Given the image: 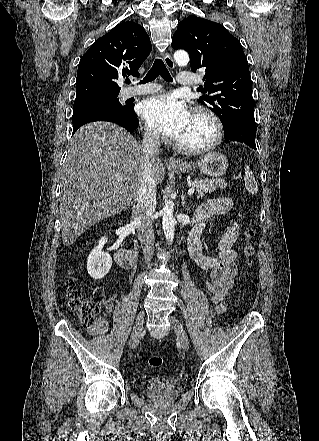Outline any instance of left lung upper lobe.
Returning <instances> with one entry per match:
<instances>
[{"label": "left lung upper lobe", "instance_id": "obj_1", "mask_svg": "<svg viewBox=\"0 0 319 441\" xmlns=\"http://www.w3.org/2000/svg\"><path fill=\"white\" fill-rule=\"evenodd\" d=\"M171 46L189 53L191 69L204 68L205 81L199 102L221 120L224 133L236 125L256 129L251 76L238 39L222 25L189 16L178 25Z\"/></svg>", "mask_w": 319, "mask_h": 441}]
</instances>
